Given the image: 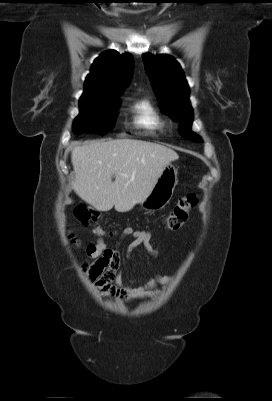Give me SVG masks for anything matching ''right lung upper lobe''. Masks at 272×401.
<instances>
[{"label":"right lung upper lobe","mask_w":272,"mask_h":401,"mask_svg":"<svg viewBox=\"0 0 272 401\" xmlns=\"http://www.w3.org/2000/svg\"><path fill=\"white\" fill-rule=\"evenodd\" d=\"M133 57L115 50L105 51L94 60L84 83L81 99L97 94L121 92L130 80Z\"/></svg>","instance_id":"1"}]
</instances>
